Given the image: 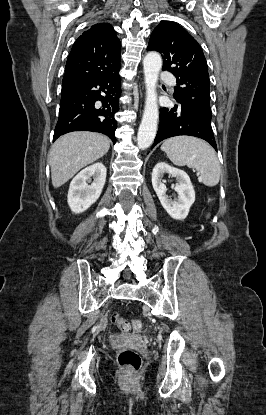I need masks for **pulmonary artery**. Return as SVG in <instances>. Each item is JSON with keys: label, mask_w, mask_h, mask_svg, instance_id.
Instances as JSON below:
<instances>
[{"label": "pulmonary artery", "mask_w": 266, "mask_h": 415, "mask_svg": "<svg viewBox=\"0 0 266 415\" xmlns=\"http://www.w3.org/2000/svg\"><path fill=\"white\" fill-rule=\"evenodd\" d=\"M161 79L166 82L167 84H169L170 86H174L175 85V78L169 74V73H162L161 74Z\"/></svg>", "instance_id": "1"}]
</instances>
